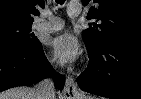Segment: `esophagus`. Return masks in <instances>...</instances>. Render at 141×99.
Returning <instances> with one entry per match:
<instances>
[{"instance_id": "1", "label": "esophagus", "mask_w": 141, "mask_h": 99, "mask_svg": "<svg viewBox=\"0 0 141 99\" xmlns=\"http://www.w3.org/2000/svg\"><path fill=\"white\" fill-rule=\"evenodd\" d=\"M79 90L77 84L72 76H67L65 87H64V96L67 99L73 98L74 96L79 95Z\"/></svg>"}]
</instances>
